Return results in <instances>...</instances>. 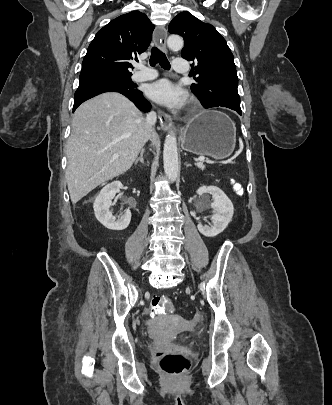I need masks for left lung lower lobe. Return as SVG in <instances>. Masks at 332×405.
Returning <instances> with one entry per match:
<instances>
[{
  "label": "left lung lower lobe",
  "mask_w": 332,
  "mask_h": 405,
  "mask_svg": "<svg viewBox=\"0 0 332 405\" xmlns=\"http://www.w3.org/2000/svg\"><path fill=\"white\" fill-rule=\"evenodd\" d=\"M239 114H241V111H237Z\"/></svg>",
  "instance_id": "0a47b994"
}]
</instances>
